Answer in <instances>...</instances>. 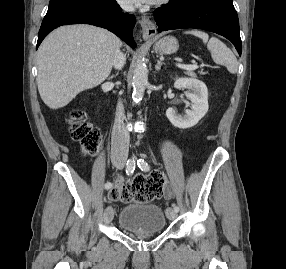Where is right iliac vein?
<instances>
[{
  "label": "right iliac vein",
  "mask_w": 286,
  "mask_h": 269,
  "mask_svg": "<svg viewBox=\"0 0 286 269\" xmlns=\"http://www.w3.org/2000/svg\"><path fill=\"white\" fill-rule=\"evenodd\" d=\"M103 218L106 223H109L113 220L114 209L111 206L105 208Z\"/></svg>",
  "instance_id": "63e3f726"
}]
</instances>
